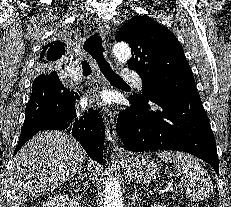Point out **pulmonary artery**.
<instances>
[{"instance_id": "obj_1", "label": "pulmonary artery", "mask_w": 231, "mask_h": 207, "mask_svg": "<svg viewBox=\"0 0 231 207\" xmlns=\"http://www.w3.org/2000/svg\"><path fill=\"white\" fill-rule=\"evenodd\" d=\"M69 76L74 79V80H79L80 76L73 73V71L69 72ZM121 77L132 83V85L135 88L141 89L143 87V80L140 77V75H138L136 72L128 70V69H124L121 71Z\"/></svg>"}]
</instances>
